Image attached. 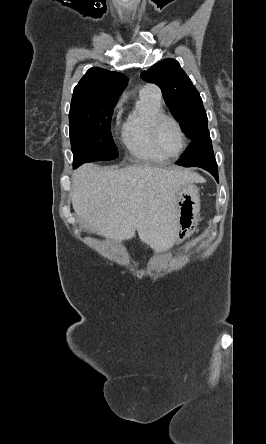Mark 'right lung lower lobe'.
<instances>
[{
    "label": "right lung lower lobe",
    "mask_w": 266,
    "mask_h": 444,
    "mask_svg": "<svg viewBox=\"0 0 266 444\" xmlns=\"http://www.w3.org/2000/svg\"><path fill=\"white\" fill-rule=\"evenodd\" d=\"M73 168L75 169V168H77V166L73 165Z\"/></svg>",
    "instance_id": "obj_1"
}]
</instances>
